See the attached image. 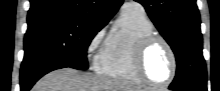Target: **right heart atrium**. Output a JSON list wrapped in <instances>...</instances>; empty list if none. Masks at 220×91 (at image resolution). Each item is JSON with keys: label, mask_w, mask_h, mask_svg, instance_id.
<instances>
[{"label": "right heart atrium", "mask_w": 220, "mask_h": 91, "mask_svg": "<svg viewBox=\"0 0 220 91\" xmlns=\"http://www.w3.org/2000/svg\"><path fill=\"white\" fill-rule=\"evenodd\" d=\"M104 36V30L100 29L94 33L87 44V52L89 54L93 53L100 45Z\"/></svg>", "instance_id": "right-heart-atrium-1"}]
</instances>
